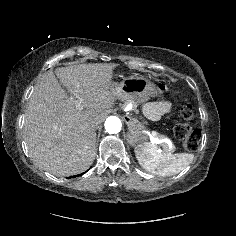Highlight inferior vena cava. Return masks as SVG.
Listing matches in <instances>:
<instances>
[{
    "mask_svg": "<svg viewBox=\"0 0 236 236\" xmlns=\"http://www.w3.org/2000/svg\"><path fill=\"white\" fill-rule=\"evenodd\" d=\"M99 122H97V121H92V123H91V128L93 129V130H96V129H98L99 128Z\"/></svg>",
    "mask_w": 236,
    "mask_h": 236,
    "instance_id": "602c4592",
    "label": "inferior vena cava"
}]
</instances>
